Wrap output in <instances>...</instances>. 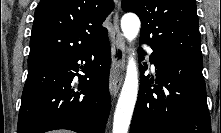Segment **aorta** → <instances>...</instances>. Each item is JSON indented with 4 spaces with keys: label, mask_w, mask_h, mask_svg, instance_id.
I'll return each mask as SVG.
<instances>
[{
    "label": "aorta",
    "mask_w": 221,
    "mask_h": 133,
    "mask_svg": "<svg viewBox=\"0 0 221 133\" xmlns=\"http://www.w3.org/2000/svg\"><path fill=\"white\" fill-rule=\"evenodd\" d=\"M141 23L137 15L125 14L121 19L123 35L132 41L139 33ZM138 95V69L133 56L128 58L125 81L114 113L113 132L128 133Z\"/></svg>",
    "instance_id": "1"
}]
</instances>
